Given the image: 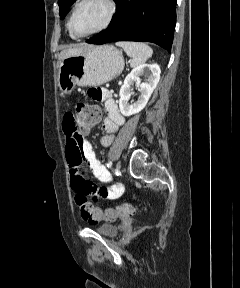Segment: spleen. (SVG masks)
I'll return each instance as SVG.
<instances>
[{"label":"spleen","mask_w":240,"mask_h":288,"mask_svg":"<svg viewBox=\"0 0 240 288\" xmlns=\"http://www.w3.org/2000/svg\"><path fill=\"white\" fill-rule=\"evenodd\" d=\"M116 45L122 47L126 54L131 57V67L144 64L153 54L151 47L142 42L119 41Z\"/></svg>","instance_id":"spleen-1"}]
</instances>
